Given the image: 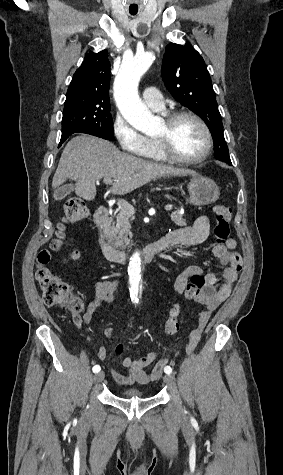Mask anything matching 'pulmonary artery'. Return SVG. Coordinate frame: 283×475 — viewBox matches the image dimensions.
<instances>
[{
	"instance_id": "obj_1",
	"label": "pulmonary artery",
	"mask_w": 283,
	"mask_h": 475,
	"mask_svg": "<svg viewBox=\"0 0 283 475\" xmlns=\"http://www.w3.org/2000/svg\"><path fill=\"white\" fill-rule=\"evenodd\" d=\"M114 90H137V89H114ZM160 87L147 86L141 90L144 103L153 110L164 109V98Z\"/></svg>"
}]
</instances>
